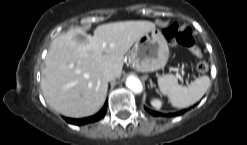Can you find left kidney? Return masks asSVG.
Returning <instances> with one entry per match:
<instances>
[{"label": "left kidney", "instance_id": "1", "mask_svg": "<svg viewBox=\"0 0 247 145\" xmlns=\"http://www.w3.org/2000/svg\"><path fill=\"white\" fill-rule=\"evenodd\" d=\"M151 105L157 109L161 108L162 106V101L159 99H152L151 100Z\"/></svg>", "mask_w": 247, "mask_h": 145}]
</instances>
